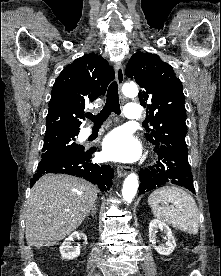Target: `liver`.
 Wrapping results in <instances>:
<instances>
[{"label": "liver", "instance_id": "6515ba94", "mask_svg": "<svg viewBox=\"0 0 221 276\" xmlns=\"http://www.w3.org/2000/svg\"><path fill=\"white\" fill-rule=\"evenodd\" d=\"M98 188L77 177L43 175L31 189L25 212L29 246H52L76 230L92 209Z\"/></svg>", "mask_w": 221, "mask_h": 276}]
</instances>
